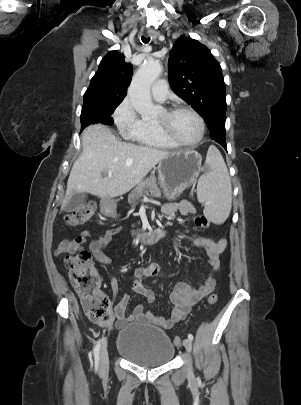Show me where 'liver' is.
I'll return each mask as SVG.
<instances>
[{
    "instance_id": "6515ba94",
    "label": "liver",
    "mask_w": 301,
    "mask_h": 405,
    "mask_svg": "<svg viewBox=\"0 0 301 405\" xmlns=\"http://www.w3.org/2000/svg\"><path fill=\"white\" fill-rule=\"evenodd\" d=\"M81 141L82 153L71 169L61 209L74 193L88 192L105 198L129 192L170 153L122 142L102 124L85 128ZM103 171L106 177H102Z\"/></svg>"
}]
</instances>
